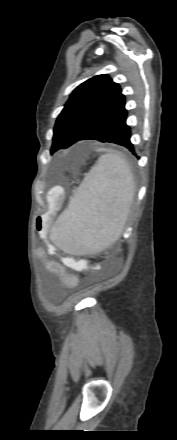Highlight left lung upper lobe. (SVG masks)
<instances>
[{
    "instance_id": "left-lung-upper-lobe-1",
    "label": "left lung upper lobe",
    "mask_w": 177,
    "mask_h": 440,
    "mask_svg": "<svg viewBox=\"0 0 177 440\" xmlns=\"http://www.w3.org/2000/svg\"><path fill=\"white\" fill-rule=\"evenodd\" d=\"M125 108L120 86L108 75H97L70 95L54 127L51 153L81 140Z\"/></svg>"
}]
</instances>
